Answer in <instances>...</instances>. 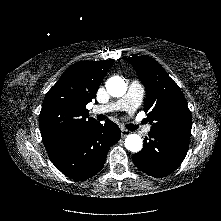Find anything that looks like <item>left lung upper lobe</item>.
<instances>
[{
  "mask_svg": "<svg viewBox=\"0 0 221 221\" xmlns=\"http://www.w3.org/2000/svg\"><path fill=\"white\" fill-rule=\"evenodd\" d=\"M147 90L144 110L152 132L189 140L191 113L178 85L153 58L141 55L126 58Z\"/></svg>",
  "mask_w": 221,
  "mask_h": 221,
  "instance_id": "left-lung-upper-lobe-1",
  "label": "left lung upper lobe"
}]
</instances>
